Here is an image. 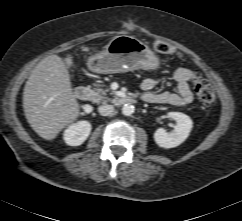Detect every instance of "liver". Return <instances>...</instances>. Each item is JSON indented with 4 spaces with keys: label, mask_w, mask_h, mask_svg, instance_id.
<instances>
[{
    "label": "liver",
    "mask_w": 242,
    "mask_h": 221,
    "mask_svg": "<svg viewBox=\"0 0 242 221\" xmlns=\"http://www.w3.org/2000/svg\"><path fill=\"white\" fill-rule=\"evenodd\" d=\"M23 108L32 129L46 140H53L79 116L80 106L61 57L47 56L32 70L24 87Z\"/></svg>",
    "instance_id": "6515ba94"
}]
</instances>
